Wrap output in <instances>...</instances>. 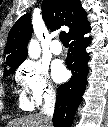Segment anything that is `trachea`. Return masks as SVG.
I'll return each instance as SVG.
<instances>
[{"mask_svg":"<svg viewBox=\"0 0 108 127\" xmlns=\"http://www.w3.org/2000/svg\"><path fill=\"white\" fill-rule=\"evenodd\" d=\"M59 39L62 42L63 45H68V39H67V34L65 31H62L59 35Z\"/></svg>","mask_w":108,"mask_h":127,"instance_id":"1","label":"trachea"}]
</instances>
